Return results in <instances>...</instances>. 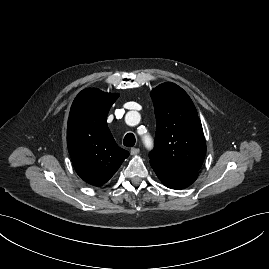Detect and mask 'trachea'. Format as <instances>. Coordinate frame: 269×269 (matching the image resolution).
Instances as JSON below:
<instances>
[{
	"label": "trachea",
	"mask_w": 269,
	"mask_h": 269,
	"mask_svg": "<svg viewBox=\"0 0 269 269\" xmlns=\"http://www.w3.org/2000/svg\"><path fill=\"white\" fill-rule=\"evenodd\" d=\"M135 142H136V139H135L134 134H132V133H128V134H126V136L124 137L123 144H124L126 147H133V146L135 145Z\"/></svg>",
	"instance_id": "1"
}]
</instances>
